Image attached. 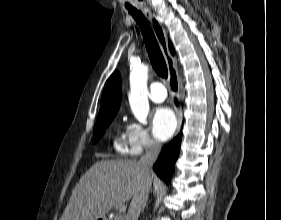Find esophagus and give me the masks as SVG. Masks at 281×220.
<instances>
[{
    "instance_id": "esophagus-1",
    "label": "esophagus",
    "mask_w": 281,
    "mask_h": 220,
    "mask_svg": "<svg viewBox=\"0 0 281 220\" xmlns=\"http://www.w3.org/2000/svg\"><path fill=\"white\" fill-rule=\"evenodd\" d=\"M145 15L149 19L152 28L154 30L157 42L159 44V47L163 53V56L165 58L167 68H168V74H169V86L171 88L172 94L175 97H178L179 95V82H178V75L175 67V58L172 56L169 46H168V40H167V33L162 26L159 18L155 15L154 12L151 11L149 8H144ZM178 115V131L180 130L181 126V112L180 110L177 111Z\"/></svg>"
}]
</instances>
